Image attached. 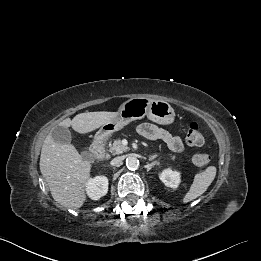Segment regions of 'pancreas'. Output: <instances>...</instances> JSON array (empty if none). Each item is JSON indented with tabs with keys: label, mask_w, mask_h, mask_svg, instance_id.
<instances>
[{
	"label": "pancreas",
	"mask_w": 261,
	"mask_h": 261,
	"mask_svg": "<svg viewBox=\"0 0 261 261\" xmlns=\"http://www.w3.org/2000/svg\"><path fill=\"white\" fill-rule=\"evenodd\" d=\"M128 147L124 146L120 139H117L113 142V144L109 145V152L113 155H119L123 152L127 151ZM171 158L174 160L175 156L171 155Z\"/></svg>",
	"instance_id": "pancreas-1"
}]
</instances>
